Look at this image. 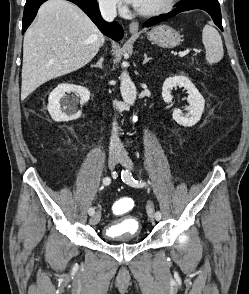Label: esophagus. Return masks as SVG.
Returning a JSON list of instances; mask_svg holds the SVG:
<instances>
[{
	"label": "esophagus",
	"mask_w": 249,
	"mask_h": 294,
	"mask_svg": "<svg viewBox=\"0 0 249 294\" xmlns=\"http://www.w3.org/2000/svg\"><path fill=\"white\" fill-rule=\"evenodd\" d=\"M129 31L131 34H137L139 32V23L137 21H133L129 24Z\"/></svg>",
	"instance_id": "1"
}]
</instances>
